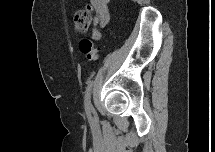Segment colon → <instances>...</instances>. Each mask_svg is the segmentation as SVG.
Returning <instances> with one entry per match:
<instances>
[{"label": "colon", "mask_w": 215, "mask_h": 152, "mask_svg": "<svg viewBox=\"0 0 215 152\" xmlns=\"http://www.w3.org/2000/svg\"><path fill=\"white\" fill-rule=\"evenodd\" d=\"M91 21V10L89 6L79 9L73 18L74 28L79 33L87 31ZM79 48L81 53L89 60L95 61L98 58L97 48L91 39L84 38L80 41Z\"/></svg>", "instance_id": "5ec220e1"}]
</instances>
